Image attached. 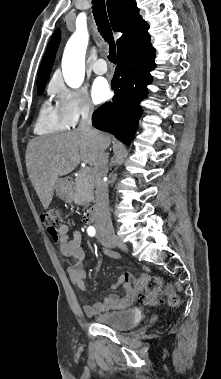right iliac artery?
<instances>
[{"label":"right iliac artery","instance_id":"1","mask_svg":"<svg viewBox=\"0 0 221 379\" xmlns=\"http://www.w3.org/2000/svg\"><path fill=\"white\" fill-rule=\"evenodd\" d=\"M87 233H88L89 236H94L95 233H96V230H95V228L93 226H90L87 229Z\"/></svg>","mask_w":221,"mask_h":379}]
</instances>
